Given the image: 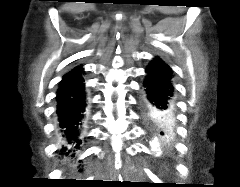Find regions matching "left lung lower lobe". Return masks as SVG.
<instances>
[{
  "label": "left lung lower lobe",
  "mask_w": 240,
  "mask_h": 187,
  "mask_svg": "<svg viewBox=\"0 0 240 187\" xmlns=\"http://www.w3.org/2000/svg\"><path fill=\"white\" fill-rule=\"evenodd\" d=\"M140 108L143 117L153 123L174 125V87L171 68L155 57L146 68Z\"/></svg>",
  "instance_id": "left-lung-lower-lobe-1"
}]
</instances>
